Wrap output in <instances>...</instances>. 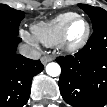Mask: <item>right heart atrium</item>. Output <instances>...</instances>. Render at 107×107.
<instances>
[{
  "label": "right heart atrium",
  "instance_id": "1",
  "mask_svg": "<svg viewBox=\"0 0 107 107\" xmlns=\"http://www.w3.org/2000/svg\"><path fill=\"white\" fill-rule=\"evenodd\" d=\"M21 36L23 37L24 40H26L28 43L32 45H37L36 40L34 39L33 36H31L29 33L26 31H21Z\"/></svg>",
  "mask_w": 107,
  "mask_h": 107
}]
</instances>
